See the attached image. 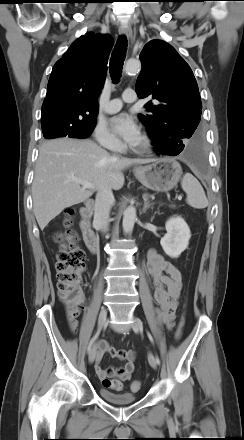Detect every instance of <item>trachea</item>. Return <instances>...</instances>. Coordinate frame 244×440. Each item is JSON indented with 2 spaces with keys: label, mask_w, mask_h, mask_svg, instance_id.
Masks as SVG:
<instances>
[{
  "label": "trachea",
  "mask_w": 244,
  "mask_h": 440,
  "mask_svg": "<svg viewBox=\"0 0 244 440\" xmlns=\"http://www.w3.org/2000/svg\"><path fill=\"white\" fill-rule=\"evenodd\" d=\"M127 51V38L121 35L116 42L110 58V74L114 83H118L122 73V67L125 61Z\"/></svg>",
  "instance_id": "obj_1"
}]
</instances>
